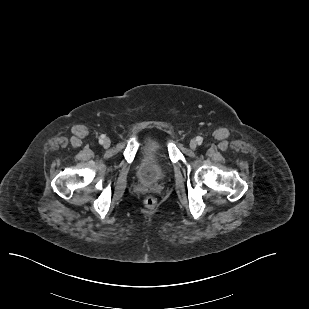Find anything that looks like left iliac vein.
Here are the masks:
<instances>
[{"label":"left iliac vein","mask_w":309,"mask_h":309,"mask_svg":"<svg viewBox=\"0 0 309 309\" xmlns=\"http://www.w3.org/2000/svg\"><path fill=\"white\" fill-rule=\"evenodd\" d=\"M196 147H197V141L194 140V139L191 140L190 141V148L194 150V149H196Z\"/></svg>","instance_id":"1"}]
</instances>
